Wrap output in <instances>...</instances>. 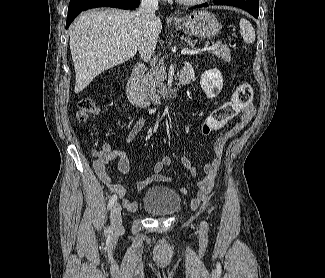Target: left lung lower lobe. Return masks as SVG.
<instances>
[{"mask_svg": "<svg viewBox=\"0 0 325 278\" xmlns=\"http://www.w3.org/2000/svg\"><path fill=\"white\" fill-rule=\"evenodd\" d=\"M214 5H230L242 8L253 15L255 18H258L259 13V1L258 0H214ZM208 3L195 6L193 8L207 7ZM192 8V9H193Z\"/></svg>", "mask_w": 325, "mask_h": 278, "instance_id": "left-lung-lower-lobe-1", "label": "left lung lower lobe"}]
</instances>
